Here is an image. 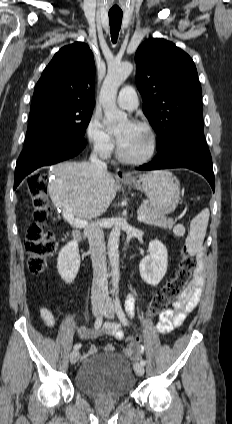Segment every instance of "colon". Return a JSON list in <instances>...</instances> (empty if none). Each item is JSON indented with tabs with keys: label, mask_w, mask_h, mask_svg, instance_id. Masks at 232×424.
<instances>
[{
	"label": "colon",
	"mask_w": 232,
	"mask_h": 424,
	"mask_svg": "<svg viewBox=\"0 0 232 424\" xmlns=\"http://www.w3.org/2000/svg\"><path fill=\"white\" fill-rule=\"evenodd\" d=\"M28 191L34 207V223L29 227L24 247L27 253V265L32 273L41 272L55 250V239L46 231V223L51 216L48 202L46 179L43 175H33L28 180ZM195 268L194 259L185 250L181 252L176 275L160 288L150 301L148 314L158 316L183 292ZM138 337H126L124 343H138Z\"/></svg>",
	"instance_id": "1"
}]
</instances>
